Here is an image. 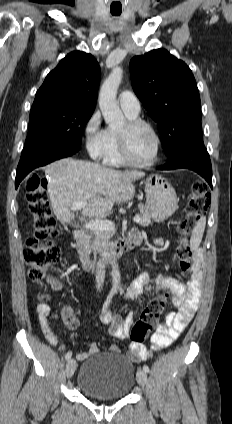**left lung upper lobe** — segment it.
Here are the masks:
<instances>
[{"instance_id": "left-lung-upper-lobe-1", "label": "left lung upper lobe", "mask_w": 232, "mask_h": 424, "mask_svg": "<svg viewBox=\"0 0 232 424\" xmlns=\"http://www.w3.org/2000/svg\"><path fill=\"white\" fill-rule=\"evenodd\" d=\"M134 92L157 122L166 156L202 133L200 96L190 68L164 49L130 61Z\"/></svg>"}]
</instances>
